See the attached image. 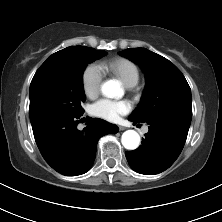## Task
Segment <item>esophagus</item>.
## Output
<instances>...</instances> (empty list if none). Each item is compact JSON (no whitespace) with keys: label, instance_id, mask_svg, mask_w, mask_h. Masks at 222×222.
Segmentation results:
<instances>
[{"label":"esophagus","instance_id":"34e87169","mask_svg":"<svg viewBox=\"0 0 222 222\" xmlns=\"http://www.w3.org/2000/svg\"><path fill=\"white\" fill-rule=\"evenodd\" d=\"M125 129H126L125 127L119 126V130H120V131H123V130H125Z\"/></svg>","mask_w":222,"mask_h":222}]
</instances>
